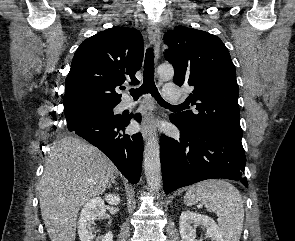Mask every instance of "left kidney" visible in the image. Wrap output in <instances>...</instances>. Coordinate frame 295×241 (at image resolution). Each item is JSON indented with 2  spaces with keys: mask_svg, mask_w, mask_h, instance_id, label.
I'll return each mask as SVG.
<instances>
[{
  "mask_svg": "<svg viewBox=\"0 0 295 241\" xmlns=\"http://www.w3.org/2000/svg\"><path fill=\"white\" fill-rule=\"evenodd\" d=\"M196 226L206 228V235L211 241H224L220 228L212 218L190 210L182 212L180 216L179 230L181 241H198L195 239Z\"/></svg>",
  "mask_w": 295,
  "mask_h": 241,
  "instance_id": "5707ae66",
  "label": "left kidney"
}]
</instances>
